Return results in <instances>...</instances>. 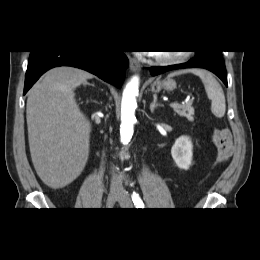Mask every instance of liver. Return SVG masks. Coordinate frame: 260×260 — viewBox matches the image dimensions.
<instances>
[{"instance_id": "6515ba94", "label": "liver", "mask_w": 260, "mask_h": 260, "mask_svg": "<svg viewBox=\"0 0 260 260\" xmlns=\"http://www.w3.org/2000/svg\"><path fill=\"white\" fill-rule=\"evenodd\" d=\"M92 77L78 68L56 67L29 91L26 119L31 158L38 176L51 188L73 182L87 163L91 128L74 89Z\"/></svg>"}]
</instances>
